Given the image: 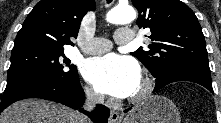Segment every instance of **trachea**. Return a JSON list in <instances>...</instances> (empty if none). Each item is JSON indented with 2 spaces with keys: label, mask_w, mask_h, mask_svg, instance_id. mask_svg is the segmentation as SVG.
I'll return each mask as SVG.
<instances>
[{
  "label": "trachea",
  "mask_w": 221,
  "mask_h": 123,
  "mask_svg": "<svg viewBox=\"0 0 221 123\" xmlns=\"http://www.w3.org/2000/svg\"><path fill=\"white\" fill-rule=\"evenodd\" d=\"M111 2V0H108V3H110Z\"/></svg>",
  "instance_id": "obj_1"
}]
</instances>
